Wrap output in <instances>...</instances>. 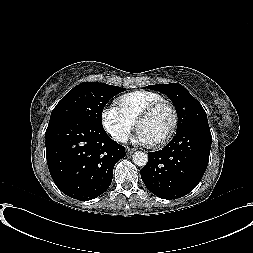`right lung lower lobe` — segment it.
Instances as JSON below:
<instances>
[{
	"instance_id": "98d812e1",
	"label": "right lung lower lobe",
	"mask_w": 253,
	"mask_h": 253,
	"mask_svg": "<svg viewBox=\"0 0 253 253\" xmlns=\"http://www.w3.org/2000/svg\"><path fill=\"white\" fill-rule=\"evenodd\" d=\"M45 144L54 183L64 194L82 201L109 188L116 162L125 157V148L103 126L78 118L49 122Z\"/></svg>"
}]
</instances>
